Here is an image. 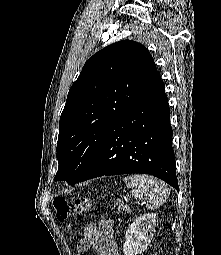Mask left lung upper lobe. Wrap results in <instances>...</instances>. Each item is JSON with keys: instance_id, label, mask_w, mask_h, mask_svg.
Listing matches in <instances>:
<instances>
[{"instance_id": "left-lung-upper-lobe-1", "label": "left lung upper lobe", "mask_w": 221, "mask_h": 255, "mask_svg": "<svg viewBox=\"0 0 221 255\" xmlns=\"http://www.w3.org/2000/svg\"><path fill=\"white\" fill-rule=\"evenodd\" d=\"M159 79L151 54L134 41L114 43L89 58L60 117L55 180L77 183L116 120Z\"/></svg>"}]
</instances>
